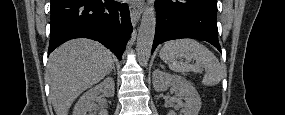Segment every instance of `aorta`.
<instances>
[{"label": "aorta", "instance_id": "1", "mask_svg": "<svg viewBox=\"0 0 285 115\" xmlns=\"http://www.w3.org/2000/svg\"><path fill=\"white\" fill-rule=\"evenodd\" d=\"M156 17L153 7H147L142 15L140 28L137 36V55L141 64L146 65L149 61L152 44L155 35Z\"/></svg>", "mask_w": 285, "mask_h": 115}]
</instances>
